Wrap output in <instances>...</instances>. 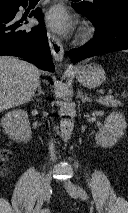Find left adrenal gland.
<instances>
[{"mask_svg":"<svg viewBox=\"0 0 128 213\" xmlns=\"http://www.w3.org/2000/svg\"><path fill=\"white\" fill-rule=\"evenodd\" d=\"M79 97H80L82 103H85L86 101L92 102V99L90 97H88L86 94L83 95V93L81 91H79Z\"/></svg>","mask_w":128,"mask_h":213,"instance_id":"left-adrenal-gland-1","label":"left adrenal gland"}]
</instances>
